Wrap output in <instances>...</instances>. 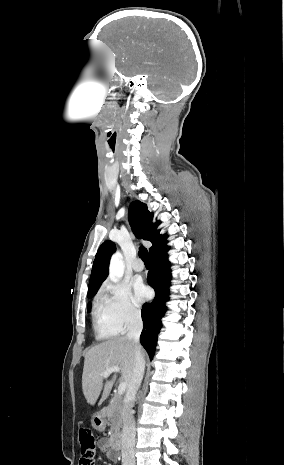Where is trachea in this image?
<instances>
[{
  "label": "trachea",
  "instance_id": "1",
  "mask_svg": "<svg viewBox=\"0 0 284 465\" xmlns=\"http://www.w3.org/2000/svg\"><path fill=\"white\" fill-rule=\"evenodd\" d=\"M138 253H139V257L143 260L144 264L149 265V256H148L147 249L141 246Z\"/></svg>",
  "mask_w": 284,
  "mask_h": 465
}]
</instances>
